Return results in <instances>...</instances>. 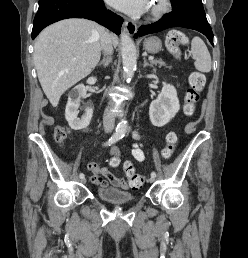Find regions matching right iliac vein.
Instances as JSON below:
<instances>
[{
    "label": "right iliac vein",
    "instance_id": "obj_1",
    "mask_svg": "<svg viewBox=\"0 0 248 258\" xmlns=\"http://www.w3.org/2000/svg\"><path fill=\"white\" fill-rule=\"evenodd\" d=\"M81 182L86 183V179L85 178L81 179Z\"/></svg>",
    "mask_w": 248,
    "mask_h": 258
}]
</instances>
